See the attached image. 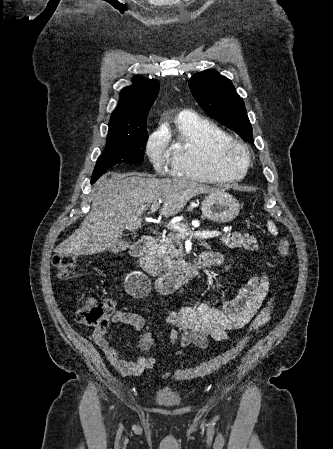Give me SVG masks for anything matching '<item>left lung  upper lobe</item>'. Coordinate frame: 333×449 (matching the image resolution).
<instances>
[{"mask_svg":"<svg viewBox=\"0 0 333 449\" xmlns=\"http://www.w3.org/2000/svg\"><path fill=\"white\" fill-rule=\"evenodd\" d=\"M189 87L207 115L254 143L244 102L229 79L216 70H206L192 76Z\"/></svg>","mask_w":333,"mask_h":449,"instance_id":"left-lung-upper-lobe-1","label":"left lung upper lobe"}]
</instances>
